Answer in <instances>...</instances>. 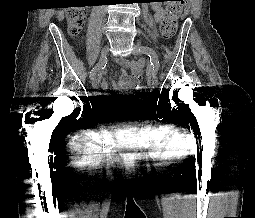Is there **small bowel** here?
<instances>
[{"instance_id": "obj_1", "label": "small bowel", "mask_w": 255, "mask_h": 218, "mask_svg": "<svg viewBox=\"0 0 255 218\" xmlns=\"http://www.w3.org/2000/svg\"><path fill=\"white\" fill-rule=\"evenodd\" d=\"M152 8L154 10V17L156 22H160L163 20L165 11L163 6L160 3H154L152 5ZM118 64L121 67V72L118 77V81L112 82V88L114 90L118 91H128L133 88L142 80L143 78V67L144 62L143 61H129L126 59H118ZM126 69L131 70V76L129 77L126 73ZM103 89H107L109 87V83L106 80L102 81L101 84ZM101 97V103L107 104L110 101V98L107 94L103 93L100 94Z\"/></svg>"}]
</instances>
